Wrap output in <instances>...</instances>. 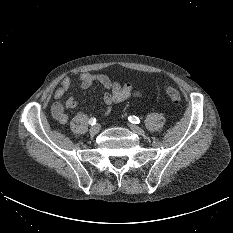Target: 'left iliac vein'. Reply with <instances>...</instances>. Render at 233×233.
Here are the masks:
<instances>
[{
    "mask_svg": "<svg viewBox=\"0 0 233 233\" xmlns=\"http://www.w3.org/2000/svg\"><path fill=\"white\" fill-rule=\"evenodd\" d=\"M129 128L138 135H144V130L136 125L129 124Z\"/></svg>",
    "mask_w": 233,
    "mask_h": 233,
    "instance_id": "4c4485c4",
    "label": "left iliac vein"
}]
</instances>
